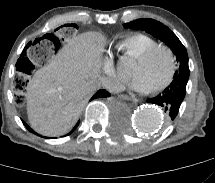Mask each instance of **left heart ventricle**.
Masks as SVG:
<instances>
[{
  "label": "left heart ventricle",
  "mask_w": 215,
  "mask_h": 183,
  "mask_svg": "<svg viewBox=\"0 0 215 183\" xmlns=\"http://www.w3.org/2000/svg\"><path fill=\"white\" fill-rule=\"evenodd\" d=\"M170 69L171 62L168 55L164 52H158L147 61L136 60L131 74L142 77L149 89H152L168 78Z\"/></svg>",
  "instance_id": "left-heart-ventricle-1"
}]
</instances>
